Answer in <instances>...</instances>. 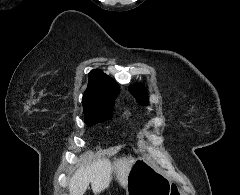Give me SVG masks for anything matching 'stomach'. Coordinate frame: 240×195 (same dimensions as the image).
Returning a JSON list of instances; mask_svg holds the SVG:
<instances>
[{
	"label": "stomach",
	"mask_w": 240,
	"mask_h": 195,
	"mask_svg": "<svg viewBox=\"0 0 240 195\" xmlns=\"http://www.w3.org/2000/svg\"><path fill=\"white\" fill-rule=\"evenodd\" d=\"M170 181L155 165L138 155L131 163L126 195H170Z\"/></svg>",
	"instance_id": "0dacf381"
}]
</instances>
